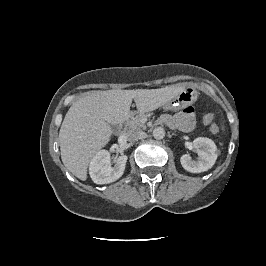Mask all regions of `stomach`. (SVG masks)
Wrapping results in <instances>:
<instances>
[{
    "mask_svg": "<svg viewBox=\"0 0 266 266\" xmlns=\"http://www.w3.org/2000/svg\"><path fill=\"white\" fill-rule=\"evenodd\" d=\"M197 99V91L191 85L183 86L181 91L165 103V109L177 110L193 104Z\"/></svg>",
    "mask_w": 266,
    "mask_h": 266,
    "instance_id": "stomach-1",
    "label": "stomach"
}]
</instances>
